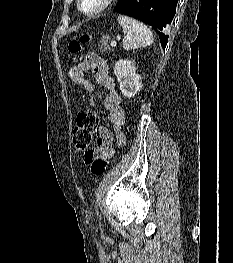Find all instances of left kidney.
Here are the masks:
<instances>
[{
  "instance_id": "left-kidney-1",
  "label": "left kidney",
  "mask_w": 233,
  "mask_h": 263,
  "mask_svg": "<svg viewBox=\"0 0 233 263\" xmlns=\"http://www.w3.org/2000/svg\"><path fill=\"white\" fill-rule=\"evenodd\" d=\"M114 74L125 97H134L142 88L141 76L136 73L134 61L118 60L114 66Z\"/></svg>"
}]
</instances>
